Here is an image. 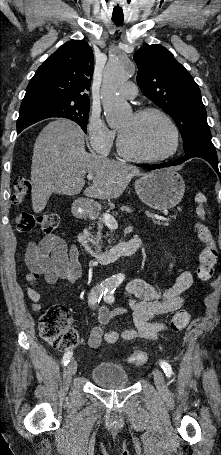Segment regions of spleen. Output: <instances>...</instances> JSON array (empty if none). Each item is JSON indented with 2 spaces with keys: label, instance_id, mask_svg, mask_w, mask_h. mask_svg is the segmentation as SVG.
I'll use <instances>...</instances> for the list:
<instances>
[{
  "label": "spleen",
  "instance_id": "1",
  "mask_svg": "<svg viewBox=\"0 0 221 455\" xmlns=\"http://www.w3.org/2000/svg\"><path fill=\"white\" fill-rule=\"evenodd\" d=\"M195 202H197L199 204V206L197 208V214L199 217L203 218L205 215V211L202 208V204L207 202L205 195L201 192H198L195 196Z\"/></svg>",
  "mask_w": 221,
  "mask_h": 455
}]
</instances>
